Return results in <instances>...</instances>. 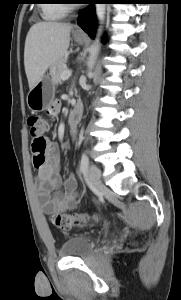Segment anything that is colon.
Masks as SVG:
<instances>
[{
    "mask_svg": "<svg viewBox=\"0 0 181 300\" xmlns=\"http://www.w3.org/2000/svg\"><path fill=\"white\" fill-rule=\"evenodd\" d=\"M30 135L32 137V152L42 154L47 148L48 142L44 134L51 127L49 118L42 115H32L27 120ZM90 217L85 214H57L51 218L53 226L57 229L68 230L74 226L85 224ZM97 220L96 217L93 218Z\"/></svg>",
    "mask_w": 181,
    "mask_h": 300,
    "instance_id": "5ec220e1",
    "label": "colon"
}]
</instances>
